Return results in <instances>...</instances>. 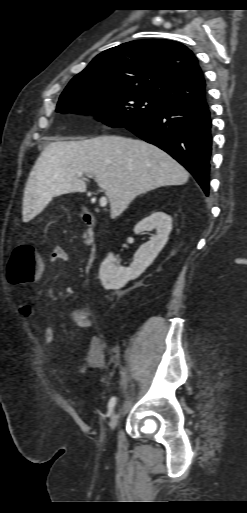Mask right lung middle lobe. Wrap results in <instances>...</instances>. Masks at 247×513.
Wrapping results in <instances>:
<instances>
[{
	"label": "right lung middle lobe",
	"mask_w": 247,
	"mask_h": 513,
	"mask_svg": "<svg viewBox=\"0 0 247 513\" xmlns=\"http://www.w3.org/2000/svg\"><path fill=\"white\" fill-rule=\"evenodd\" d=\"M169 104L138 94L127 88L70 81L60 96L58 112H76L101 116L111 127H128L144 121Z\"/></svg>",
	"instance_id": "right-lung-middle-lobe-1"
}]
</instances>
